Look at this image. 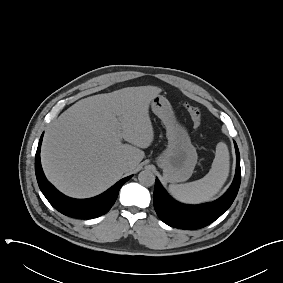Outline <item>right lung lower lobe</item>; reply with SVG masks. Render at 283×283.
<instances>
[{
    "label": "right lung lower lobe",
    "mask_w": 283,
    "mask_h": 283,
    "mask_svg": "<svg viewBox=\"0 0 283 283\" xmlns=\"http://www.w3.org/2000/svg\"><path fill=\"white\" fill-rule=\"evenodd\" d=\"M42 138L43 134L39 140L35 156V172L40 190L50 204L62 214L80 219L96 218L107 213L115 203L118 192L122 185L132 176L120 180L106 192L94 198L73 199L67 197L60 193L51 183H49L43 173L40 163V147Z\"/></svg>",
    "instance_id": "obj_1"
}]
</instances>
